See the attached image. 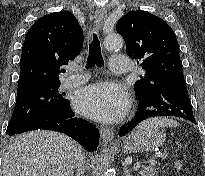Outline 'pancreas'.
I'll return each mask as SVG.
<instances>
[{"label": "pancreas", "instance_id": "1", "mask_svg": "<svg viewBox=\"0 0 205 176\" xmlns=\"http://www.w3.org/2000/svg\"><path fill=\"white\" fill-rule=\"evenodd\" d=\"M156 160L150 159L147 166H144L143 169L140 171L141 176H155L156 173L159 171V165L156 166Z\"/></svg>", "mask_w": 205, "mask_h": 176}]
</instances>
